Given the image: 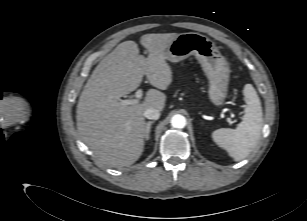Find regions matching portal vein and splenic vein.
<instances>
[{"instance_id": "1", "label": "portal vein and splenic vein", "mask_w": 307, "mask_h": 221, "mask_svg": "<svg viewBox=\"0 0 307 221\" xmlns=\"http://www.w3.org/2000/svg\"><path fill=\"white\" fill-rule=\"evenodd\" d=\"M142 95H143L142 89H138L135 93L134 99L121 100L120 102H121L122 105H135V104L139 103L140 99L142 98ZM227 121L229 123H232L230 118H228Z\"/></svg>"}]
</instances>
